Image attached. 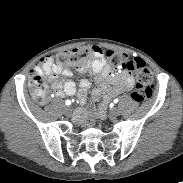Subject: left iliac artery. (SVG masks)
<instances>
[{
	"mask_svg": "<svg viewBox=\"0 0 183 183\" xmlns=\"http://www.w3.org/2000/svg\"><path fill=\"white\" fill-rule=\"evenodd\" d=\"M118 101H119V99H118V98H116V99L114 100V103H118Z\"/></svg>",
	"mask_w": 183,
	"mask_h": 183,
	"instance_id": "left-iliac-artery-1",
	"label": "left iliac artery"
}]
</instances>
